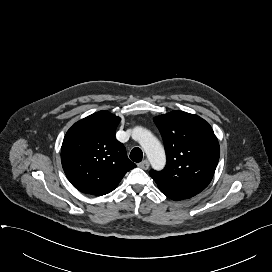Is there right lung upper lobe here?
<instances>
[{
	"label": "right lung upper lobe",
	"instance_id": "1",
	"mask_svg": "<svg viewBox=\"0 0 272 272\" xmlns=\"http://www.w3.org/2000/svg\"><path fill=\"white\" fill-rule=\"evenodd\" d=\"M120 118L96 112L76 122L66 133L61 162L68 180L79 191L102 196L113 191L136 164L115 138Z\"/></svg>",
	"mask_w": 272,
	"mask_h": 272
}]
</instances>
